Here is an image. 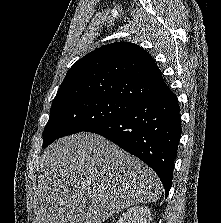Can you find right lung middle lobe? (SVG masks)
<instances>
[{
  "mask_svg": "<svg viewBox=\"0 0 221 223\" xmlns=\"http://www.w3.org/2000/svg\"><path fill=\"white\" fill-rule=\"evenodd\" d=\"M132 105L130 102L101 96H82L53 103L43 132V148L60 137L86 131L106 122Z\"/></svg>",
  "mask_w": 221,
  "mask_h": 223,
  "instance_id": "right-lung-middle-lobe-1",
  "label": "right lung middle lobe"
}]
</instances>
